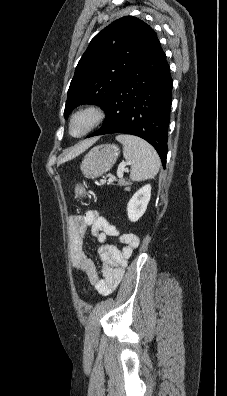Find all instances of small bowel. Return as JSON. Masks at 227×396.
<instances>
[{
  "label": "small bowel",
  "instance_id": "c3829d8e",
  "mask_svg": "<svg viewBox=\"0 0 227 396\" xmlns=\"http://www.w3.org/2000/svg\"><path fill=\"white\" fill-rule=\"evenodd\" d=\"M69 228V251L73 265L86 275L96 291L102 295H109L122 280L128 260L140 245L139 237L134 233L120 234L115 225L95 210L70 217ZM88 228L101 244L98 249L101 272H98L95 263L84 251ZM108 237H118L124 245L123 248L119 249L108 243Z\"/></svg>",
  "mask_w": 227,
  "mask_h": 396
}]
</instances>
